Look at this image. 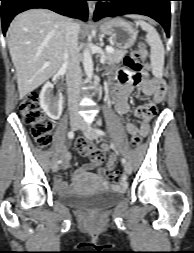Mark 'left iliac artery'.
Returning <instances> with one entry per match:
<instances>
[{
    "label": "left iliac artery",
    "mask_w": 194,
    "mask_h": 253,
    "mask_svg": "<svg viewBox=\"0 0 194 253\" xmlns=\"http://www.w3.org/2000/svg\"><path fill=\"white\" fill-rule=\"evenodd\" d=\"M96 132L98 133V135H101V136H105L106 135V133L103 130H101V129H96ZM121 162L123 164H126V160L124 158L121 159Z\"/></svg>",
    "instance_id": "1"
}]
</instances>
